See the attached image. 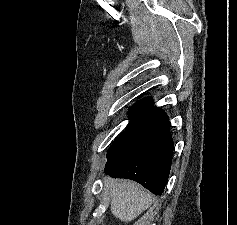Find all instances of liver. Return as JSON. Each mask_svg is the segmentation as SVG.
Returning a JSON list of instances; mask_svg holds the SVG:
<instances>
[{
  "instance_id": "obj_1",
  "label": "liver",
  "mask_w": 237,
  "mask_h": 225,
  "mask_svg": "<svg viewBox=\"0 0 237 225\" xmlns=\"http://www.w3.org/2000/svg\"><path fill=\"white\" fill-rule=\"evenodd\" d=\"M111 212L119 220L128 223L136 219L148 209L153 196L135 182L124 180L111 182L110 185Z\"/></svg>"
}]
</instances>
